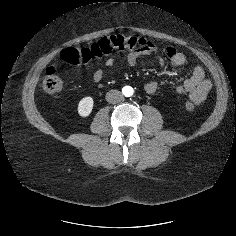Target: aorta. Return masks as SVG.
Returning <instances> with one entry per match:
<instances>
[{"instance_id":"obj_1","label":"aorta","mask_w":236,"mask_h":236,"mask_svg":"<svg viewBox=\"0 0 236 236\" xmlns=\"http://www.w3.org/2000/svg\"><path fill=\"white\" fill-rule=\"evenodd\" d=\"M122 91H123V94L127 97L132 96L133 94V88L130 86L124 87Z\"/></svg>"}]
</instances>
